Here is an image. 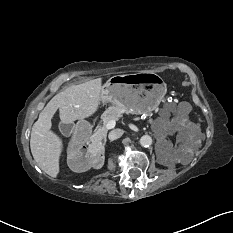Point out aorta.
<instances>
[{
	"instance_id": "obj_1",
	"label": "aorta",
	"mask_w": 233,
	"mask_h": 233,
	"mask_svg": "<svg viewBox=\"0 0 233 233\" xmlns=\"http://www.w3.org/2000/svg\"><path fill=\"white\" fill-rule=\"evenodd\" d=\"M139 142L142 147H149L152 144V138L149 135H143Z\"/></svg>"
}]
</instances>
